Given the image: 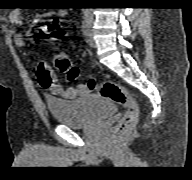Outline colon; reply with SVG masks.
<instances>
[{"label": "colon", "instance_id": "obj_1", "mask_svg": "<svg viewBox=\"0 0 192 180\" xmlns=\"http://www.w3.org/2000/svg\"><path fill=\"white\" fill-rule=\"evenodd\" d=\"M37 38L44 41L61 40L63 32L54 22H47L38 31ZM54 65L59 72L66 75L69 81H76L80 77L79 68L74 66L63 53H58L54 56ZM87 87L89 90L96 91L102 97L108 98L126 108L125 115L116 126L113 140H117L133 129L139 118L140 107L137 99L126 87L114 81L98 82L93 78L88 80Z\"/></svg>", "mask_w": 192, "mask_h": 180}]
</instances>
